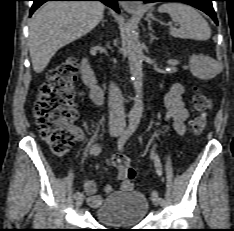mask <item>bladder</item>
<instances>
[{"label":"bladder","mask_w":234,"mask_h":231,"mask_svg":"<svg viewBox=\"0 0 234 231\" xmlns=\"http://www.w3.org/2000/svg\"><path fill=\"white\" fill-rule=\"evenodd\" d=\"M149 212L146 196L137 191L114 193L96 209L99 223L114 226H134L141 223Z\"/></svg>","instance_id":"obj_1"}]
</instances>
